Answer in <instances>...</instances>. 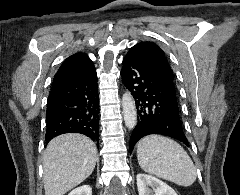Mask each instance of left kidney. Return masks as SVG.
I'll return each mask as SVG.
<instances>
[{"label":"left kidney","instance_id":"obj_1","mask_svg":"<svg viewBox=\"0 0 240 195\" xmlns=\"http://www.w3.org/2000/svg\"><path fill=\"white\" fill-rule=\"evenodd\" d=\"M137 187L139 195H177L175 189L147 173H137Z\"/></svg>","mask_w":240,"mask_h":195}]
</instances>
